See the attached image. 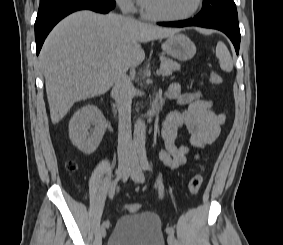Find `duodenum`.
<instances>
[{"instance_id": "duodenum-1", "label": "duodenum", "mask_w": 283, "mask_h": 245, "mask_svg": "<svg viewBox=\"0 0 283 245\" xmlns=\"http://www.w3.org/2000/svg\"><path fill=\"white\" fill-rule=\"evenodd\" d=\"M164 103H165V98L160 97L159 100L157 101L155 107L147 115V119L149 121L154 119L160 113V111L164 107ZM113 114H114L115 119H117L118 116H117V110H116L115 106L113 107Z\"/></svg>"}]
</instances>
